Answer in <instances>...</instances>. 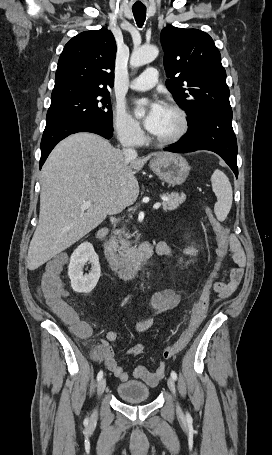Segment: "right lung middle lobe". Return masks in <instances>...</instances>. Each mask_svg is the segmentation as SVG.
Segmentation results:
<instances>
[{
    "label": "right lung middle lobe",
    "instance_id": "dd1d6c3e",
    "mask_svg": "<svg viewBox=\"0 0 272 455\" xmlns=\"http://www.w3.org/2000/svg\"><path fill=\"white\" fill-rule=\"evenodd\" d=\"M78 120L96 121L113 129L109 95L70 96L51 101L46 126Z\"/></svg>",
    "mask_w": 272,
    "mask_h": 455
}]
</instances>
